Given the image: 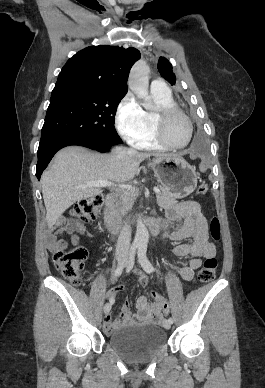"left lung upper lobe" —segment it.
<instances>
[{
    "label": "left lung upper lobe",
    "instance_id": "obj_1",
    "mask_svg": "<svg viewBox=\"0 0 265 388\" xmlns=\"http://www.w3.org/2000/svg\"><path fill=\"white\" fill-rule=\"evenodd\" d=\"M158 71L171 85H175L176 77L172 71L171 63L164 57H160L158 61Z\"/></svg>",
    "mask_w": 265,
    "mask_h": 388
}]
</instances>
